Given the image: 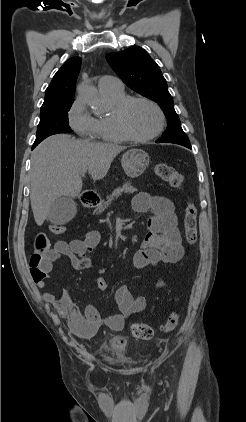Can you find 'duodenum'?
Instances as JSON below:
<instances>
[{
  "label": "duodenum",
  "mask_w": 246,
  "mask_h": 422,
  "mask_svg": "<svg viewBox=\"0 0 246 422\" xmlns=\"http://www.w3.org/2000/svg\"><path fill=\"white\" fill-rule=\"evenodd\" d=\"M99 200L96 196L93 195H87L83 198V204L87 207V208H94L98 205Z\"/></svg>",
  "instance_id": "obj_1"
}]
</instances>
